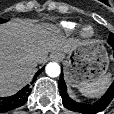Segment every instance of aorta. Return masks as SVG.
Masks as SVG:
<instances>
[{
  "label": "aorta",
  "mask_w": 114,
  "mask_h": 114,
  "mask_svg": "<svg viewBox=\"0 0 114 114\" xmlns=\"http://www.w3.org/2000/svg\"><path fill=\"white\" fill-rule=\"evenodd\" d=\"M45 70L46 74L50 77H57L60 75V66L55 62L47 64Z\"/></svg>",
  "instance_id": "762f6f07"
}]
</instances>
